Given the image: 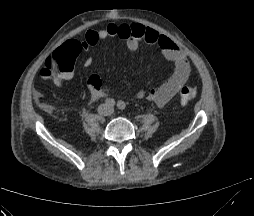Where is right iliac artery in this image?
I'll list each match as a JSON object with an SVG mask.
<instances>
[{
  "label": "right iliac artery",
  "instance_id": "obj_1",
  "mask_svg": "<svg viewBox=\"0 0 254 216\" xmlns=\"http://www.w3.org/2000/svg\"><path fill=\"white\" fill-rule=\"evenodd\" d=\"M105 103H106V105H107L108 107H113V106L115 105V100L112 99V98H107V99L105 100Z\"/></svg>",
  "mask_w": 254,
  "mask_h": 216
}]
</instances>
